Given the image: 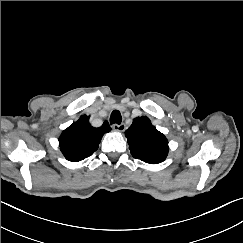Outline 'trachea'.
Here are the masks:
<instances>
[{
  "label": "trachea",
  "mask_w": 243,
  "mask_h": 243,
  "mask_svg": "<svg viewBox=\"0 0 243 243\" xmlns=\"http://www.w3.org/2000/svg\"><path fill=\"white\" fill-rule=\"evenodd\" d=\"M122 121V116L118 110H114L110 116L111 124H120Z\"/></svg>",
  "instance_id": "1"
}]
</instances>
